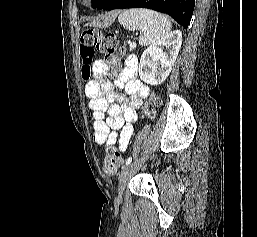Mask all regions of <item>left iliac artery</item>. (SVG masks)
Listing matches in <instances>:
<instances>
[{
	"instance_id": "left-iliac-artery-1",
	"label": "left iliac artery",
	"mask_w": 257,
	"mask_h": 237,
	"mask_svg": "<svg viewBox=\"0 0 257 237\" xmlns=\"http://www.w3.org/2000/svg\"><path fill=\"white\" fill-rule=\"evenodd\" d=\"M131 161H132V157L130 156V157H128V158L126 159L125 165L127 166L128 164L131 163Z\"/></svg>"
}]
</instances>
